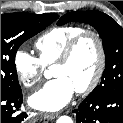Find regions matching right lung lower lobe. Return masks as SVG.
I'll list each match as a JSON object with an SVG mask.
<instances>
[{"label": "right lung lower lobe", "instance_id": "1", "mask_svg": "<svg viewBox=\"0 0 123 123\" xmlns=\"http://www.w3.org/2000/svg\"><path fill=\"white\" fill-rule=\"evenodd\" d=\"M22 91L1 92V123H23L27 114H17L22 104Z\"/></svg>", "mask_w": 123, "mask_h": 123}]
</instances>
